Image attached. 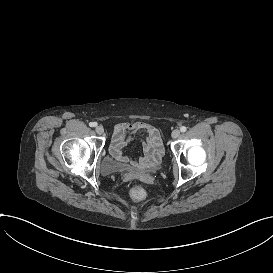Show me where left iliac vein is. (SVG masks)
<instances>
[{"instance_id":"4c4485c4","label":"left iliac vein","mask_w":273,"mask_h":273,"mask_svg":"<svg viewBox=\"0 0 273 273\" xmlns=\"http://www.w3.org/2000/svg\"><path fill=\"white\" fill-rule=\"evenodd\" d=\"M179 135H180V131H179L178 129H174V130L172 131V137H173V138H178Z\"/></svg>"}]
</instances>
